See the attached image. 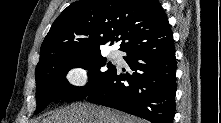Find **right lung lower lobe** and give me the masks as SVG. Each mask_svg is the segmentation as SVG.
I'll return each instance as SVG.
<instances>
[{
	"mask_svg": "<svg viewBox=\"0 0 221 123\" xmlns=\"http://www.w3.org/2000/svg\"><path fill=\"white\" fill-rule=\"evenodd\" d=\"M124 59L134 72L115 69L89 91L88 100L151 123H173L177 88L173 36L133 48Z\"/></svg>",
	"mask_w": 221,
	"mask_h": 123,
	"instance_id": "98d812e1",
	"label": "right lung lower lobe"
}]
</instances>
